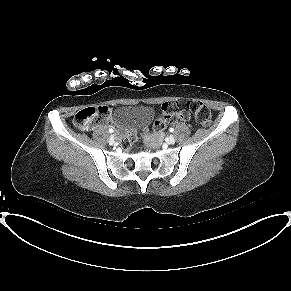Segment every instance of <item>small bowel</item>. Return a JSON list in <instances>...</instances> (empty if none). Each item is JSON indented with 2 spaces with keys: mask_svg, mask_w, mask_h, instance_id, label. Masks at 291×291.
Here are the masks:
<instances>
[{
  "mask_svg": "<svg viewBox=\"0 0 291 291\" xmlns=\"http://www.w3.org/2000/svg\"><path fill=\"white\" fill-rule=\"evenodd\" d=\"M188 118H189V114L187 112L179 111L177 113L175 120L180 121V122H185L188 120Z\"/></svg>",
  "mask_w": 291,
  "mask_h": 291,
  "instance_id": "1",
  "label": "small bowel"
}]
</instances>
